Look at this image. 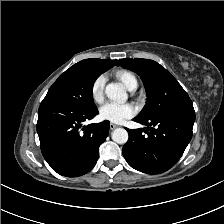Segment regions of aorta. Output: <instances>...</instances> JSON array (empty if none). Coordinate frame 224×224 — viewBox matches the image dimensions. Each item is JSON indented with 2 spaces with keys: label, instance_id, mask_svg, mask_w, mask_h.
<instances>
[{
  "label": "aorta",
  "instance_id": "762f6f07",
  "mask_svg": "<svg viewBox=\"0 0 224 224\" xmlns=\"http://www.w3.org/2000/svg\"><path fill=\"white\" fill-rule=\"evenodd\" d=\"M105 94L111 100L125 102L127 93L120 83H109L105 88ZM128 132L124 128H116L112 132V140L118 144H125L128 141Z\"/></svg>",
  "mask_w": 224,
  "mask_h": 224
}]
</instances>
